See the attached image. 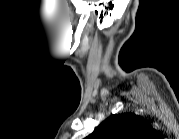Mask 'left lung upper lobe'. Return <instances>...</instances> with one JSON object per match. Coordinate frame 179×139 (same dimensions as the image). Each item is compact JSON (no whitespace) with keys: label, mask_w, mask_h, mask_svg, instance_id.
Masks as SVG:
<instances>
[{"label":"left lung upper lobe","mask_w":179,"mask_h":139,"mask_svg":"<svg viewBox=\"0 0 179 139\" xmlns=\"http://www.w3.org/2000/svg\"><path fill=\"white\" fill-rule=\"evenodd\" d=\"M152 131L148 122L133 113L112 115L88 139H143Z\"/></svg>","instance_id":"5c2ea615"}]
</instances>
